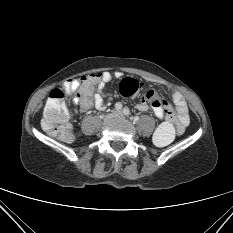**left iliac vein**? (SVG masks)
Segmentation results:
<instances>
[{"label":"left iliac vein","mask_w":233,"mask_h":233,"mask_svg":"<svg viewBox=\"0 0 233 233\" xmlns=\"http://www.w3.org/2000/svg\"><path fill=\"white\" fill-rule=\"evenodd\" d=\"M118 116L121 117L122 115L119 113Z\"/></svg>","instance_id":"1"}]
</instances>
